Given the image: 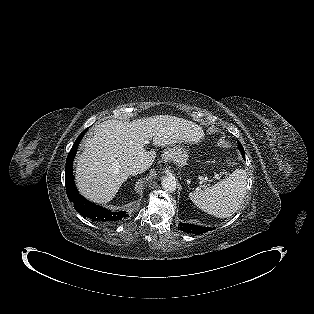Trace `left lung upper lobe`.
Returning a JSON list of instances; mask_svg holds the SVG:
<instances>
[{
    "label": "left lung upper lobe",
    "mask_w": 314,
    "mask_h": 314,
    "mask_svg": "<svg viewBox=\"0 0 314 314\" xmlns=\"http://www.w3.org/2000/svg\"><path fill=\"white\" fill-rule=\"evenodd\" d=\"M238 148H239L240 152H244L243 146L241 145L240 142H238Z\"/></svg>",
    "instance_id": "5c2ea615"
}]
</instances>
